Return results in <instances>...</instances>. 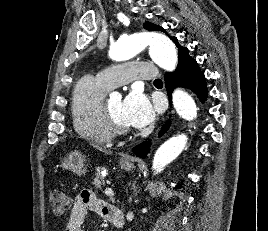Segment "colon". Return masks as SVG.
<instances>
[{"mask_svg": "<svg viewBox=\"0 0 268 231\" xmlns=\"http://www.w3.org/2000/svg\"><path fill=\"white\" fill-rule=\"evenodd\" d=\"M53 209L56 213H62L70 208V200L62 191H54L52 193Z\"/></svg>", "mask_w": 268, "mask_h": 231, "instance_id": "obj_1", "label": "colon"}]
</instances>
